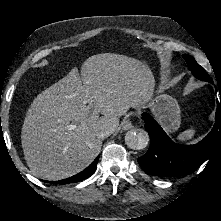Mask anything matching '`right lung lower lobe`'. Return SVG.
<instances>
[{"label":"right lung lower lobe","instance_id":"obj_1","mask_svg":"<svg viewBox=\"0 0 221 221\" xmlns=\"http://www.w3.org/2000/svg\"><path fill=\"white\" fill-rule=\"evenodd\" d=\"M98 160H99V156L86 169H84L82 172H80L72 177H69V178L63 179V180H59V181H53V182L51 181L49 183L64 185V184H70V183L82 181V180L90 177L93 174V172L97 168Z\"/></svg>","mask_w":221,"mask_h":221}]
</instances>
